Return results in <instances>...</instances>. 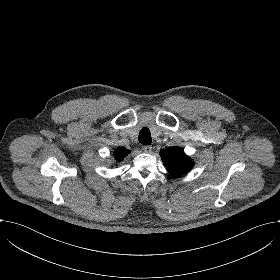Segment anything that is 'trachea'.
<instances>
[{"label":"trachea","instance_id":"1","mask_svg":"<svg viewBox=\"0 0 280 280\" xmlns=\"http://www.w3.org/2000/svg\"><path fill=\"white\" fill-rule=\"evenodd\" d=\"M139 142L143 145H149L152 142L150 130L148 128L144 127L140 130Z\"/></svg>","mask_w":280,"mask_h":280}]
</instances>
